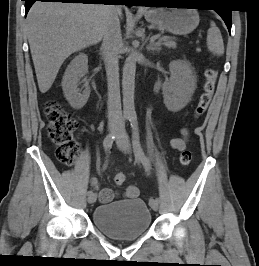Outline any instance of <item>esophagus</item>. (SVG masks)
Here are the masks:
<instances>
[{
  "instance_id": "34e87169",
  "label": "esophagus",
  "mask_w": 259,
  "mask_h": 266,
  "mask_svg": "<svg viewBox=\"0 0 259 266\" xmlns=\"http://www.w3.org/2000/svg\"><path fill=\"white\" fill-rule=\"evenodd\" d=\"M139 9H140V10H144V8H143V7H140Z\"/></svg>"
}]
</instances>
